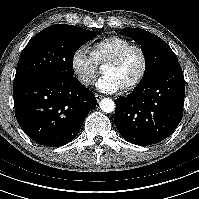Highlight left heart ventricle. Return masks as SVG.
<instances>
[{
  "label": "left heart ventricle",
  "mask_w": 199,
  "mask_h": 199,
  "mask_svg": "<svg viewBox=\"0 0 199 199\" xmlns=\"http://www.w3.org/2000/svg\"><path fill=\"white\" fill-rule=\"evenodd\" d=\"M142 67V57L139 51H131L115 68L103 69V75L113 78L121 88L133 81Z\"/></svg>",
  "instance_id": "b2bd125f"
}]
</instances>
